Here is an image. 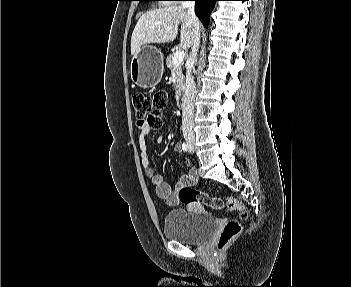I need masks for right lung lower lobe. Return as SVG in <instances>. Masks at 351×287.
<instances>
[{
  "mask_svg": "<svg viewBox=\"0 0 351 287\" xmlns=\"http://www.w3.org/2000/svg\"><path fill=\"white\" fill-rule=\"evenodd\" d=\"M194 1H195V13L203 23L204 27H207L210 13L214 7L215 2L218 0H194Z\"/></svg>",
  "mask_w": 351,
  "mask_h": 287,
  "instance_id": "obj_1",
  "label": "right lung lower lobe"
}]
</instances>
